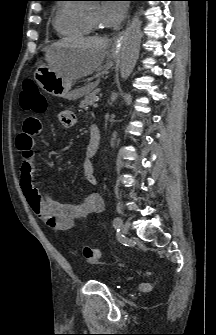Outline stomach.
Here are the masks:
<instances>
[{
    "instance_id": "1",
    "label": "stomach",
    "mask_w": 216,
    "mask_h": 335,
    "mask_svg": "<svg viewBox=\"0 0 216 335\" xmlns=\"http://www.w3.org/2000/svg\"><path fill=\"white\" fill-rule=\"evenodd\" d=\"M47 65L38 68L34 73V78L38 85L47 93L76 100L83 96V89L72 90L73 80L65 73H62L66 64L72 56L78 52L77 48L69 46L52 45L45 48ZM117 50L112 51V57H116Z\"/></svg>"
}]
</instances>
